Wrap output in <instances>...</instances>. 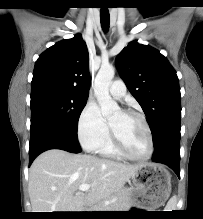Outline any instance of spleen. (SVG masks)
<instances>
[{
  "label": "spleen",
  "mask_w": 203,
  "mask_h": 219,
  "mask_svg": "<svg viewBox=\"0 0 203 219\" xmlns=\"http://www.w3.org/2000/svg\"><path fill=\"white\" fill-rule=\"evenodd\" d=\"M176 203H177V198H176V196H173L167 203L166 208L169 209L168 211L175 210Z\"/></svg>",
  "instance_id": "3e777b00"
}]
</instances>
